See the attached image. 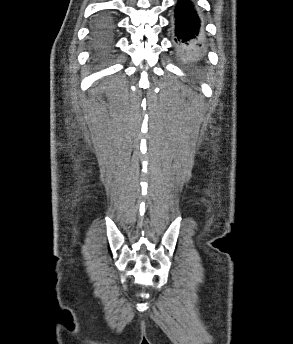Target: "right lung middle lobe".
Segmentation results:
<instances>
[{"instance_id":"1","label":"right lung middle lobe","mask_w":293,"mask_h":344,"mask_svg":"<svg viewBox=\"0 0 293 344\" xmlns=\"http://www.w3.org/2000/svg\"><path fill=\"white\" fill-rule=\"evenodd\" d=\"M110 21L103 19L99 21L94 28V37L96 40L101 42L107 36Z\"/></svg>"}]
</instances>
